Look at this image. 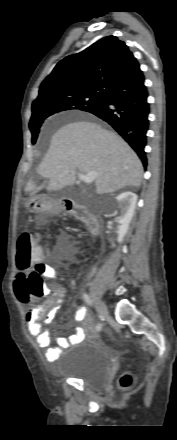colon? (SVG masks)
<instances>
[{
  "instance_id": "1",
  "label": "colon",
  "mask_w": 177,
  "mask_h": 440,
  "mask_svg": "<svg viewBox=\"0 0 177 440\" xmlns=\"http://www.w3.org/2000/svg\"><path fill=\"white\" fill-rule=\"evenodd\" d=\"M46 248L36 243L34 235L30 232L23 233L17 242L16 265L21 272L30 271L28 277L20 282L23 290L22 301L27 302L30 298H41L47 293L44 283L47 266L44 263ZM132 377L125 374L120 379V388L128 389L131 386Z\"/></svg>"
}]
</instances>
